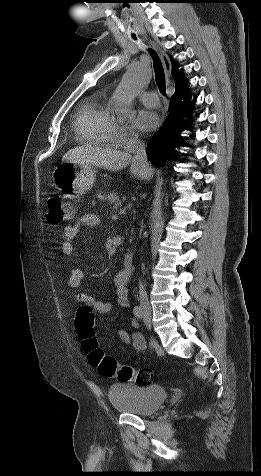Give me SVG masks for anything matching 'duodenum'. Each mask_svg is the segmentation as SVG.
<instances>
[{
    "instance_id": "obj_1",
    "label": "duodenum",
    "mask_w": 261,
    "mask_h": 476,
    "mask_svg": "<svg viewBox=\"0 0 261 476\" xmlns=\"http://www.w3.org/2000/svg\"><path fill=\"white\" fill-rule=\"evenodd\" d=\"M134 267V255L132 253H126L124 256V272L127 276H130Z\"/></svg>"
}]
</instances>
